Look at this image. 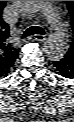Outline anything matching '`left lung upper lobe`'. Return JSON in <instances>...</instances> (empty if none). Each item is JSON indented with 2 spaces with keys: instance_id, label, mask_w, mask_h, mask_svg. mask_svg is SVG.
I'll return each mask as SVG.
<instances>
[{
  "instance_id": "5c2ea615",
  "label": "left lung upper lobe",
  "mask_w": 74,
  "mask_h": 122,
  "mask_svg": "<svg viewBox=\"0 0 74 122\" xmlns=\"http://www.w3.org/2000/svg\"><path fill=\"white\" fill-rule=\"evenodd\" d=\"M67 6L71 14V25H72V30L74 32V1H67ZM68 52L74 55V39L70 45Z\"/></svg>"
}]
</instances>
